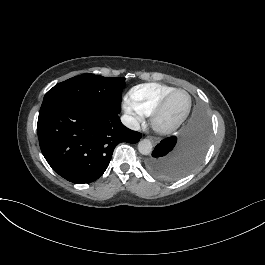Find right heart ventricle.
<instances>
[{"mask_svg": "<svg viewBox=\"0 0 265 265\" xmlns=\"http://www.w3.org/2000/svg\"><path fill=\"white\" fill-rule=\"evenodd\" d=\"M174 89L159 84L142 85L132 90L131 98L143 115L152 116L160 101Z\"/></svg>", "mask_w": 265, "mask_h": 265, "instance_id": "1", "label": "right heart ventricle"}]
</instances>
